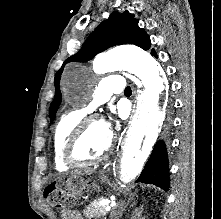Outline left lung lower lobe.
Returning <instances> with one entry per match:
<instances>
[{
	"label": "left lung lower lobe",
	"instance_id": "0a47b994",
	"mask_svg": "<svg viewBox=\"0 0 221 219\" xmlns=\"http://www.w3.org/2000/svg\"><path fill=\"white\" fill-rule=\"evenodd\" d=\"M151 55L157 57L154 50L151 51ZM137 182L154 184L163 190H168L170 187L168 155L164 141H158L153 148Z\"/></svg>",
	"mask_w": 221,
	"mask_h": 219
}]
</instances>
